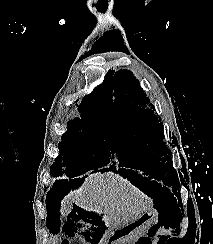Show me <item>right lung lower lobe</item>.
<instances>
[{
    "mask_svg": "<svg viewBox=\"0 0 213 244\" xmlns=\"http://www.w3.org/2000/svg\"><path fill=\"white\" fill-rule=\"evenodd\" d=\"M57 179H56V182H55V184L53 185V187H52V189L50 190V193H49V195L50 194H52L53 193V195L55 194L56 195V193L58 192V191H60V189H61V191H63V190H66V189H68L69 187H71V185L72 184H70V183H68V180H61L60 178H58V177H56ZM48 195V196H49Z\"/></svg>",
    "mask_w": 213,
    "mask_h": 244,
    "instance_id": "obj_1",
    "label": "right lung lower lobe"
}]
</instances>
